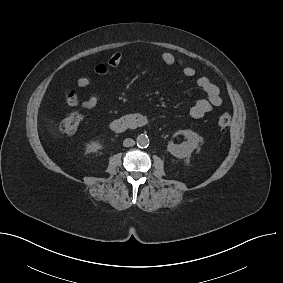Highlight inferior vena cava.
Returning <instances> with one entry per match:
<instances>
[{"label": "inferior vena cava", "instance_id": "1", "mask_svg": "<svg viewBox=\"0 0 283 283\" xmlns=\"http://www.w3.org/2000/svg\"><path fill=\"white\" fill-rule=\"evenodd\" d=\"M135 145V141L131 138H126L124 141H123V146L124 147H131V146H134Z\"/></svg>", "mask_w": 283, "mask_h": 283}]
</instances>
